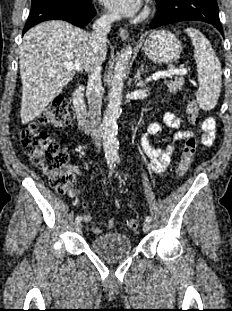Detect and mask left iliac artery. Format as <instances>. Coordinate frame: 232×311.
<instances>
[{
	"label": "left iliac artery",
	"mask_w": 232,
	"mask_h": 311,
	"mask_svg": "<svg viewBox=\"0 0 232 311\" xmlns=\"http://www.w3.org/2000/svg\"><path fill=\"white\" fill-rule=\"evenodd\" d=\"M116 161H117V162H120V159L117 158ZM151 221H152V218H151L150 216H147V217H146V222H149V223H150Z\"/></svg>",
	"instance_id": "obj_1"
}]
</instances>
